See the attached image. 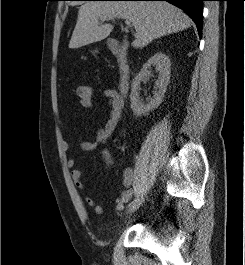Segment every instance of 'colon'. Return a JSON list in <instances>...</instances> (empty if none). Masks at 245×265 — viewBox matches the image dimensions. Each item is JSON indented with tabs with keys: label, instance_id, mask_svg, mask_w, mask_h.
Returning <instances> with one entry per match:
<instances>
[{
	"label": "colon",
	"instance_id": "colon-1",
	"mask_svg": "<svg viewBox=\"0 0 245 265\" xmlns=\"http://www.w3.org/2000/svg\"><path fill=\"white\" fill-rule=\"evenodd\" d=\"M76 94L82 105L93 101V88L90 85H81L76 89Z\"/></svg>",
	"mask_w": 245,
	"mask_h": 265
}]
</instances>
